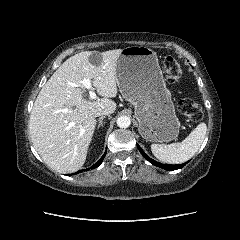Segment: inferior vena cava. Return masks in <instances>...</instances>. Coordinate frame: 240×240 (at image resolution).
<instances>
[{"label":"inferior vena cava","mask_w":240,"mask_h":240,"mask_svg":"<svg viewBox=\"0 0 240 240\" xmlns=\"http://www.w3.org/2000/svg\"><path fill=\"white\" fill-rule=\"evenodd\" d=\"M110 114H111L110 112L104 110V111H99V112H97V113H96V116H97V117H98V116H103V115L109 116Z\"/></svg>","instance_id":"1"}]
</instances>
